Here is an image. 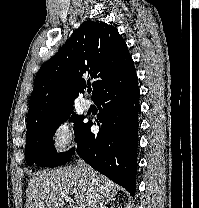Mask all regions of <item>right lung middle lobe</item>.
I'll use <instances>...</instances> for the list:
<instances>
[{
  "label": "right lung middle lobe",
  "instance_id": "obj_1",
  "mask_svg": "<svg viewBox=\"0 0 199 208\" xmlns=\"http://www.w3.org/2000/svg\"><path fill=\"white\" fill-rule=\"evenodd\" d=\"M71 114V121L74 122L75 138L78 144L87 124L83 123V116L69 112L26 133L25 160L28 165L36 163L42 167H56L69 161L75 148L67 152L57 153L53 144V135L59 124L67 121Z\"/></svg>",
  "mask_w": 199,
  "mask_h": 208
}]
</instances>
